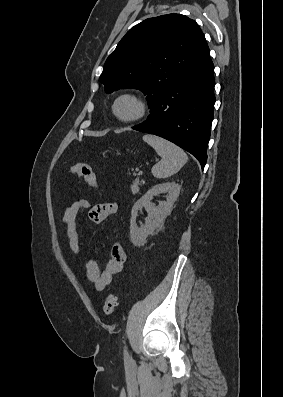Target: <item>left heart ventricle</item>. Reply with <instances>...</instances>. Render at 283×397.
I'll list each match as a JSON object with an SVG mask.
<instances>
[{
  "label": "left heart ventricle",
  "instance_id": "obj_1",
  "mask_svg": "<svg viewBox=\"0 0 283 397\" xmlns=\"http://www.w3.org/2000/svg\"><path fill=\"white\" fill-rule=\"evenodd\" d=\"M137 112V104L131 99H123L117 105V113L122 117L133 116Z\"/></svg>",
  "mask_w": 283,
  "mask_h": 397
}]
</instances>
